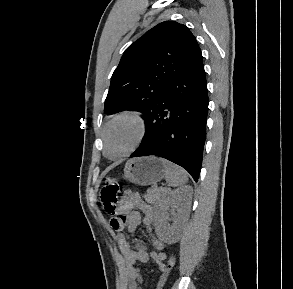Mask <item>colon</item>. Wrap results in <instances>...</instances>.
Instances as JSON below:
<instances>
[{
    "label": "colon",
    "instance_id": "obj_1",
    "mask_svg": "<svg viewBox=\"0 0 293 289\" xmlns=\"http://www.w3.org/2000/svg\"><path fill=\"white\" fill-rule=\"evenodd\" d=\"M120 192L119 183L112 178H107L105 180V185L100 193V203L102 205L103 210L110 215H115L117 210V202H118V194ZM111 224L114 230H119L122 227L121 221L116 218L111 219ZM176 263V257L174 254H171L168 258L166 264H164L162 268V276L158 282L157 289H162L165 278L170 270L174 267Z\"/></svg>",
    "mask_w": 293,
    "mask_h": 289
}]
</instances>
